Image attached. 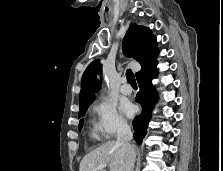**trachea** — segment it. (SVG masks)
<instances>
[{
    "mask_svg": "<svg viewBox=\"0 0 223 171\" xmlns=\"http://www.w3.org/2000/svg\"><path fill=\"white\" fill-rule=\"evenodd\" d=\"M126 78L129 84H136L135 76L131 69L126 71Z\"/></svg>",
    "mask_w": 223,
    "mask_h": 171,
    "instance_id": "1",
    "label": "trachea"
}]
</instances>
